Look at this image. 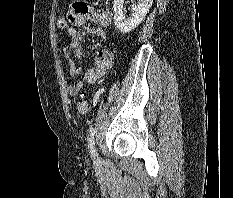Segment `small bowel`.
Listing matches in <instances>:
<instances>
[{"label":"small bowel","mask_w":233,"mask_h":198,"mask_svg":"<svg viewBox=\"0 0 233 198\" xmlns=\"http://www.w3.org/2000/svg\"><path fill=\"white\" fill-rule=\"evenodd\" d=\"M112 19L113 14L108 9L95 11L83 1H76L71 5L68 21L72 26L67 30L69 42L63 50L70 76L74 77L81 72L80 62L85 57V52L80 48V43L92 34L105 38L104 29L111 25ZM86 21H91L95 26L82 32L78 28ZM93 61L94 66L84 72L83 81L68 85L69 96L75 97L84 83L93 84L101 78L113 64V53L107 48L99 49L93 55Z\"/></svg>","instance_id":"c3829d8e"}]
</instances>
